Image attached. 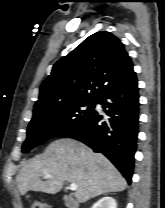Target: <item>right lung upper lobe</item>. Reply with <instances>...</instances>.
Returning <instances> with one entry per match:
<instances>
[{
    "label": "right lung upper lobe",
    "mask_w": 165,
    "mask_h": 208,
    "mask_svg": "<svg viewBox=\"0 0 165 208\" xmlns=\"http://www.w3.org/2000/svg\"><path fill=\"white\" fill-rule=\"evenodd\" d=\"M133 73L122 42L110 32H97L54 64L40 87L34 111L66 101H97Z\"/></svg>",
    "instance_id": "obj_1"
}]
</instances>
